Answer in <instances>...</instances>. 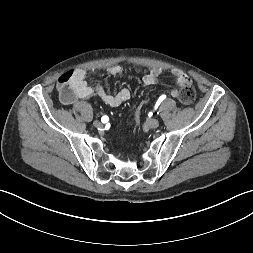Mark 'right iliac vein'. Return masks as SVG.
<instances>
[{"label":"right iliac vein","mask_w":253,"mask_h":253,"mask_svg":"<svg viewBox=\"0 0 253 253\" xmlns=\"http://www.w3.org/2000/svg\"><path fill=\"white\" fill-rule=\"evenodd\" d=\"M93 126L96 127V128H101L102 127V123L100 121H94L93 122Z\"/></svg>","instance_id":"63e3f726"}]
</instances>
